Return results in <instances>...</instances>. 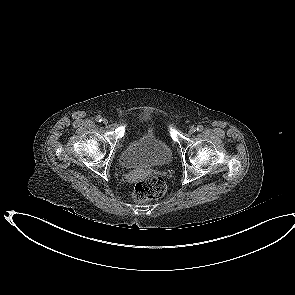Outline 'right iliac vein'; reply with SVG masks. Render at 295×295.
<instances>
[{"instance_id": "obj_1", "label": "right iliac vein", "mask_w": 295, "mask_h": 295, "mask_svg": "<svg viewBox=\"0 0 295 295\" xmlns=\"http://www.w3.org/2000/svg\"><path fill=\"white\" fill-rule=\"evenodd\" d=\"M102 121H103L104 124L108 123V120L106 118H104Z\"/></svg>"}]
</instances>
